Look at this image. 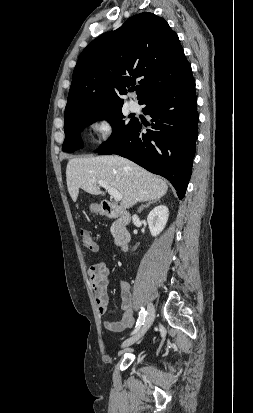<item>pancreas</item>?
<instances>
[{"instance_id": "obj_1", "label": "pancreas", "mask_w": 253, "mask_h": 413, "mask_svg": "<svg viewBox=\"0 0 253 413\" xmlns=\"http://www.w3.org/2000/svg\"><path fill=\"white\" fill-rule=\"evenodd\" d=\"M111 233L112 235H115V223L111 227Z\"/></svg>"}]
</instances>
